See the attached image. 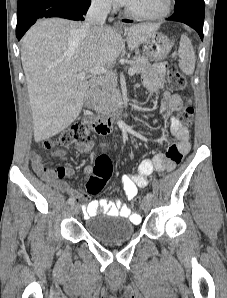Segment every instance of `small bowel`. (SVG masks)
<instances>
[{
    "label": "small bowel",
    "mask_w": 227,
    "mask_h": 298,
    "mask_svg": "<svg viewBox=\"0 0 227 298\" xmlns=\"http://www.w3.org/2000/svg\"><path fill=\"white\" fill-rule=\"evenodd\" d=\"M166 68H172V63H156L153 69L144 79L146 88L151 93H157L161 90ZM182 99L179 95L163 92V101L160 111L162 113H177L182 109ZM169 129L176 142L171 144L165 153L156 152L152 158L142 160L138 166L136 174L127 173L121 176L120 183L129 199H133L139 189H143L148 184V177L153 171L163 172L172 170L174 167H180L181 159L189 152V130L176 116L169 118ZM94 147L93 141L89 140L77 146V150L81 154H89ZM56 157H63L64 150L56 151ZM31 163L34 170L45 180L53 183L62 191L68 193L78 202H84L86 195L72 188L67 182L62 181L66 176H73L75 170L71 166H58L56 168H48L42 162V156L33 151L30 154ZM86 174L92 173V167L84 168ZM83 213L86 218L95 217L100 214L108 216H121L128 218L134 222L139 221L138 214L131 212L130 208L120 199L108 200H91L82 205Z\"/></svg>",
    "instance_id": "obj_1"
}]
</instances>
